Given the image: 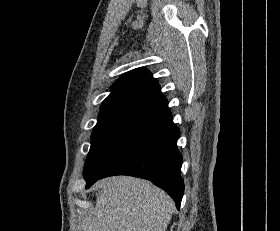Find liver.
I'll return each mask as SVG.
<instances>
[{"instance_id":"1","label":"liver","mask_w":280,"mask_h":231,"mask_svg":"<svg viewBox=\"0 0 280 231\" xmlns=\"http://www.w3.org/2000/svg\"><path fill=\"white\" fill-rule=\"evenodd\" d=\"M96 207L84 217L82 231H165L173 201L146 179L117 175L95 183Z\"/></svg>"}]
</instances>
